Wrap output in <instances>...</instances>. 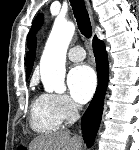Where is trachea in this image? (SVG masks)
I'll use <instances>...</instances> for the list:
<instances>
[{
    "label": "trachea",
    "mask_w": 139,
    "mask_h": 150,
    "mask_svg": "<svg viewBox=\"0 0 139 150\" xmlns=\"http://www.w3.org/2000/svg\"><path fill=\"white\" fill-rule=\"evenodd\" d=\"M70 3L81 34L86 38H90L92 27L84 0H70Z\"/></svg>",
    "instance_id": "1"
}]
</instances>
